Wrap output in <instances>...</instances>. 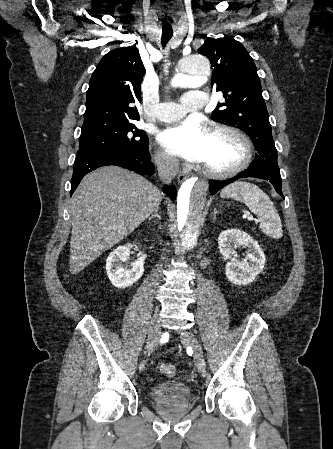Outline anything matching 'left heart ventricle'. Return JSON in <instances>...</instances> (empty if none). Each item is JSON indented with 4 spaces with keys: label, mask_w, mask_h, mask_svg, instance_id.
<instances>
[{
    "label": "left heart ventricle",
    "mask_w": 333,
    "mask_h": 449,
    "mask_svg": "<svg viewBox=\"0 0 333 449\" xmlns=\"http://www.w3.org/2000/svg\"><path fill=\"white\" fill-rule=\"evenodd\" d=\"M241 154V146L236 140L208 133L200 163L212 169H226L235 165Z\"/></svg>",
    "instance_id": "left-heart-ventricle-1"
}]
</instances>
